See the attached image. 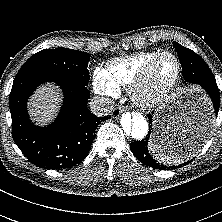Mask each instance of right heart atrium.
Masks as SVG:
<instances>
[{
  "label": "right heart atrium",
  "mask_w": 222,
  "mask_h": 222,
  "mask_svg": "<svg viewBox=\"0 0 222 222\" xmlns=\"http://www.w3.org/2000/svg\"><path fill=\"white\" fill-rule=\"evenodd\" d=\"M94 91L105 98H114L118 95L119 89L109 80L106 71L101 68L95 69L93 73Z\"/></svg>",
  "instance_id": "right-heart-atrium-1"
}]
</instances>
